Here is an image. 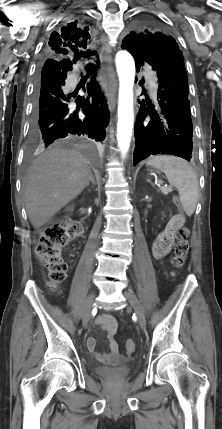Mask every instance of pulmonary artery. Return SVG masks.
<instances>
[{"instance_id": "pulmonary-artery-1", "label": "pulmonary artery", "mask_w": 222, "mask_h": 429, "mask_svg": "<svg viewBox=\"0 0 222 429\" xmlns=\"http://www.w3.org/2000/svg\"><path fill=\"white\" fill-rule=\"evenodd\" d=\"M146 77L148 79L149 87H150L152 93H155V91H156V79H155V77L153 76V74H151L149 72L146 74Z\"/></svg>"}]
</instances>
